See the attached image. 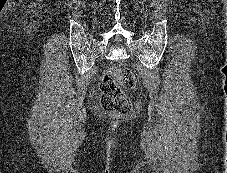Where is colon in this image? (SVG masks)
Returning <instances> with one entry per match:
<instances>
[{"instance_id": "5ec220e1", "label": "colon", "mask_w": 227, "mask_h": 173, "mask_svg": "<svg viewBox=\"0 0 227 173\" xmlns=\"http://www.w3.org/2000/svg\"><path fill=\"white\" fill-rule=\"evenodd\" d=\"M136 83L133 72L129 69L113 67L100 83L101 103L106 110L126 113L131 103L125 90L134 88Z\"/></svg>"}]
</instances>
